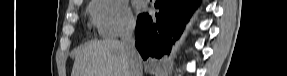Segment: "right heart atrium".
<instances>
[{
    "instance_id": "d8ad5b80",
    "label": "right heart atrium",
    "mask_w": 287,
    "mask_h": 76,
    "mask_svg": "<svg viewBox=\"0 0 287 76\" xmlns=\"http://www.w3.org/2000/svg\"><path fill=\"white\" fill-rule=\"evenodd\" d=\"M93 19L105 37H119L129 33L134 18L123 0H95L91 7Z\"/></svg>"
}]
</instances>
